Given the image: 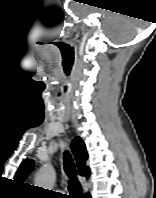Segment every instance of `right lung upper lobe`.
Instances as JSON below:
<instances>
[{
    "label": "right lung upper lobe",
    "instance_id": "obj_1",
    "mask_svg": "<svg viewBox=\"0 0 156 198\" xmlns=\"http://www.w3.org/2000/svg\"><path fill=\"white\" fill-rule=\"evenodd\" d=\"M71 147L78 166L79 175L88 178L90 174V170L88 167L85 166V162L88 158V154L84 142L80 137H76L72 141ZM32 165H33V161L30 159L23 161L15 175L14 180H17L18 182L22 183L23 180L26 178L27 174L29 173V171L31 170Z\"/></svg>",
    "mask_w": 156,
    "mask_h": 198
}]
</instances>
